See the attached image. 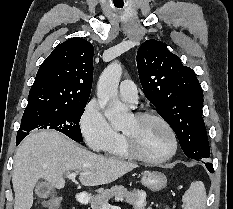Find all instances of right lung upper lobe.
Returning <instances> with one entry per match:
<instances>
[{
  "mask_svg": "<svg viewBox=\"0 0 233 209\" xmlns=\"http://www.w3.org/2000/svg\"><path fill=\"white\" fill-rule=\"evenodd\" d=\"M93 56V45L82 38H71L59 44L40 65L27 106L88 102Z\"/></svg>",
  "mask_w": 233,
  "mask_h": 209,
  "instance_id": "obj_1",
  "label": "right lung upper lobe"
}]
</instances>
